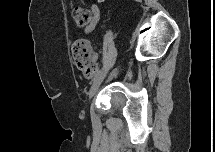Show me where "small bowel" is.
Listing matches in <instances>:
<instances>
[{
	"mask_svg": "<svg viewBox=\"0 0 215 152\" xmlns=\"http://www.w3.org/2000/svg\"><path fill=\"white\" fill-rule=\"evenodd\" d=\"M91 20L89 22V24L85 27V33L86 34H91L94 32V30L96 29V26L99 22V18H100V10L99 7L97 5H92L91 6Z\"/></svg>",
	"mask_w": 215,
	"mask_h": 152,
	"instance_id": "c3829d8e",
	"label": "small bowel"
}]
</instances>
